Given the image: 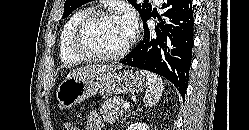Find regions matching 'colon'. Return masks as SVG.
<instances>
[{
    "label": "colon",
    "instance_id": "obj_1",
    "mask_svg": "<svg viewBox=\"0 0 249 130\" xmlns=\"http://www.w3.org/2000/svg\"><path fill=\"white\" fill-rule=\"evenodd\" d=\"M61 130H80V129L73 122L66 120L62 122Z\"/></svg>",
    "mask_w": 249,
    "mask_h": 130
}]
</instances>
